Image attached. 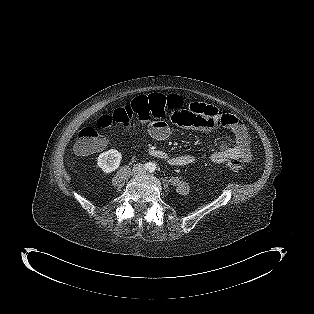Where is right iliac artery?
Masks as SVG:
<instances>
[{
	"label": "right iliac artery",
	"mask_w": 314,
	"mask_h": 314,
	"mask_svg": "<svg viewBox=\"0 0 314 314\" xmlns=\"http://www.w3.org/2000/svg\"><path fill=\"white\" fill-rule=\"evenodd\" d=\"M151 167H152V166H151L150 163H146L144 168H145V169H150Z\"/></svg>",
	"instance_id": "right-iliac-artery-1"
}]
</instances>
